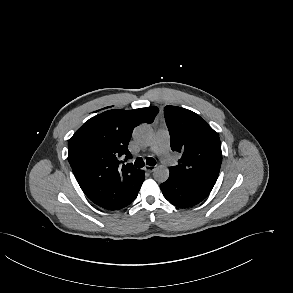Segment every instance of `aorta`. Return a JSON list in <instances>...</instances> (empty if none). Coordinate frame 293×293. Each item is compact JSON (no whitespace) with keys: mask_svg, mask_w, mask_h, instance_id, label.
I'll return each mask as SVG.
<instances>
[{"mask_svg":"<svg viewBox=\"0 0 293 293\" xmlns=\"http://www.w3.org/2000/svg\"><path fill=\"white\" fill-rule=\"evenodd\" d=\"M134 139L142 144L149 145L153 140L154 133L150 126L146 124L139 125L135 128L133 132ZM153 177L156 181L163 183L169 177V170L166 166L159 165L154 168Z\"/></svg>","mask_w":293,"mask_h":293,"instance_id":"obj_1","label":"aorta"}]
</instances>
